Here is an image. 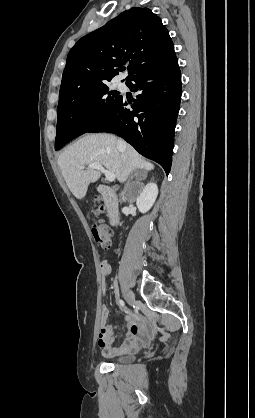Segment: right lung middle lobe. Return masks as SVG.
I'll return each instance as SVG.
<instances>
[{"mask_svg": "<svg viewBox=\"0 0 255 418\" xmlns=\"http://www.w3.org/2000/svg\"><path fill=\"white\" fill-rule=\"evenodd\" d=\"M120 98L107 82L59 93L55 150L103 121Z\"/></svg>", "mask_w": 255, "mask_h": 418, "instance_id": "1", "label": "right lung middle lobe"}]
</instances>
